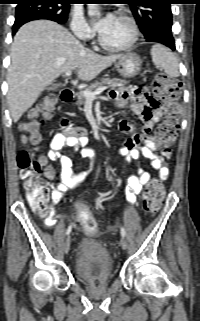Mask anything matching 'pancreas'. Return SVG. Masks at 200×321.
<instances>
[{
	"label": "pancreas",
	"mask_w": 200,
	"mask_h": 321,
	"mask_svg": "<svg viewBox=\"0 0 200 321\" xmlns=\"http://www.w3.org/2000/svg\"><path fill=\"white\" fill-rule=\"evenodd\" d=\"M127 84L125 80L119 79V78H103L101 81H96L92 83L89 87L86 88L87 91H96L97 89L103 87L104 85H108L112 88H117V87H124ZM77 99H78V105H84L86 102V97L82 92L77 94Z\"/></svg>",
	"instance_id": "pancreas-1"
}]
</instances>
